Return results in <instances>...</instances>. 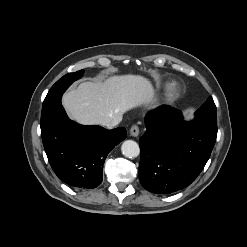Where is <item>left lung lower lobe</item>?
<instances>
[{"label":"left lung lower lobe","mask_w":247,"mask_h":247,"mask_svg":"<svg viewBox=\"0 0 247 247\" xmlns=\"http://www.w3.org/2000/svg\"><path fill=\"white\" fill-rule=\"evenodd\" d=\"M140 138L139 179L154 193L169 194L191 184L208 161L217 129L184 121L181 111L160 107L145 117Z\"/></svg>","instance_id":"obj_1"}]
</instances>
